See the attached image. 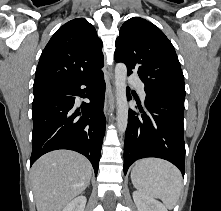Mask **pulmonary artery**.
<instances>
[{
  "label": "pulmonary artery",
  "mask_w": 221,
  "mask_h": 211,
  "mask_svg": "<svg viewBox=\"0 0 221 211\" xmlns=\"http://www.w3.org/2000/svg\"><path fill=\"white\" fill-rule=\"evenodd\" d=\"M129 83L137 87L142 98L146 97V93L144 90V84L142 83V81L138 77L130 76Z\"/></svg>",
  "instance_id": "e3ab8cb5"
}]
</instances>
